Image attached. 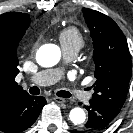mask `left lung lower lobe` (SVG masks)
<instances>
[{"instance_id": "left-lung-lower-lobe-1", "label": "left lung lower lobe", "mask_w": 133, "mask_h": 133, "mask_svg": "<svg viewBox=\"0 0 133 133\" xmlns=\"http://www.w3.org/2000/svg\"><path fill=\"white\" fill-rule=\"evenodd\" d=\"M89 103L88 106H84L89 112V118L79 133H98L104 130L120 112L119 108L99 100L91 99Z\"/></svg>"}]
</instances>
